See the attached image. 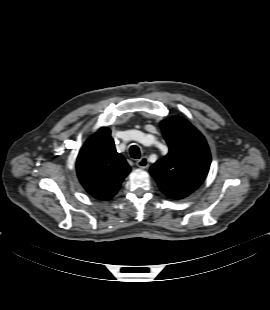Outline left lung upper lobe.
I'll return each mask as SVG.
<instances>
[{"label":"left lung upper lobe","instance_id":"1","mask_svg":"<svg viewBox=\"0 0 270 310\" xmlns=\"http://www.w3.org/2000/svg\"><path fill=\"white\" fill-rule=\"evenodd\" d=\"M169 153L150 168L160 189L193 192L206 178L211 156L203 135L186 119L173 116L160 123Z\"/></svg>","mask_w":270,"mask_h":310}]
</instances>
